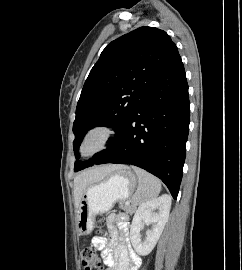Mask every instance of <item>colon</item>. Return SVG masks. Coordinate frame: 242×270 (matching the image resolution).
I'll use <instances>...</instances> for the list:
<instances>
[{
  "label": "colon",
  "instance_id": "1",
  "mask_svg": "<svg viewBox=\"0 0 242 270\" xmlns=\"http://www.w3.org/2000/svg\"><path fill=\"white\" fill-rule=\"evenodd\" d=\"M96 228L99 234L104 233V222L99 220L96 224ZM81 257L85 270L101 269L98 255L92 247H84L81 251Z\"/></svg>",
  "mask_w": 242,
  "mask_h": 270
}]
</instances>
